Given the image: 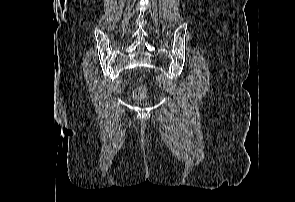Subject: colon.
Returning <instances> with one entry per match:
<instances>
[{
  "instance_id": "colon-1",
  "label": "colon",
  "mask_w": 295,
  "mask_h": 202,
  "mask_svg": "<svg viewBox=\"0 0 295 202\" xmlns=\"http://www.w3.org/2000/svg\"><path fill=\"white\" fill-rule=\"evenodd\" d=\"M146 94V88L144 85L140 84L138 85V87L134 90L133 92V96L137 99V100H141L144 98Z\"/></svg>"
}]
</instances>
